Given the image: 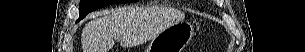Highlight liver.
<instances>
[{
    "label": "liver",
    "mask_w": 305,
    "mask_h": 52,
    "mask_svg": "<svg viewBox=\"0 0 305 52\" xmlns=\"http://www.w3.org/2000/svg\"><path fill=\"white\" fill-rule=\"evenodd\" d=\"M146 12L139 8H122L89 21L82 30L83 52H109L114 39L121 43L142 42L155 38L167 27L178 23L183 14L174 11L157 29L147 24Z\"/></svg>",
    "instance_id": "6515ba94"
}]
</instances>
